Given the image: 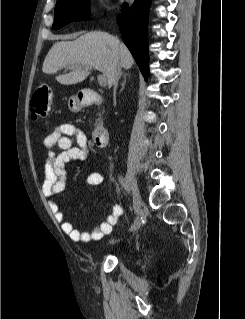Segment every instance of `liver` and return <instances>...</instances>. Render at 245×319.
I'll return each instance as SVG.
<instances>
[{
	"instance_id": "6515ba94",
	"label": "liver",
	"mask_w": 245,
	"mask_h": 319,
	"mask_svg": "<svg viewBox=\"0 0 245 319\" xmlns=\"http://www.w3.org/2000/svg\"><path fill=\"white\" fill-rule=\"evenodd\" d=\"M134 59L128 48L116 37L105 32H90L74 41L55 43L48 52L42 71L55 74L68 65L74 69L56 77L63 85H73L86 79V67L97 68L103 72L108 84H112L113 74L118 66L130 69Z\"/></svg>"
}]
</instances>
